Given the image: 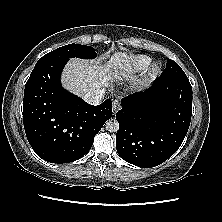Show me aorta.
Segmentation results:
<instances>
[{
  "instance_id": "aorta-1",
  "label": "aorta",
  "mask_w": 222,
  "mask_h": 222,
  "mask_svg": "<svg viewBox=\"0 0 222 222\" xmlns=\"http://www.w3.org/2000/svg\"><path fill=\"white\" fill-rule=\"evenodd\" d=\"M106 130L109 132H117L119 129V123L116 119H109L105 123Z\"/></svg>"
}]
</instances>
